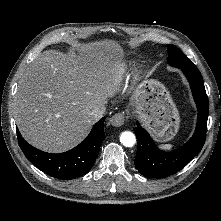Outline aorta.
<instances>
[{"mask_svg": "<svg viewBox=\"0 0 221 221\" xmlns=\"http://www.w3.org/2000/svg\"><path fill=\"white\" fill-rule=\"evenodd\" d=\"M120 141L124 146L132 147L136 143V137L132 132L125 131L121 133Z\"/></svg>", "mask_w": 221, "mask_h": 221, "instance_id": "1", "label": "aorta"}]
</instances>
